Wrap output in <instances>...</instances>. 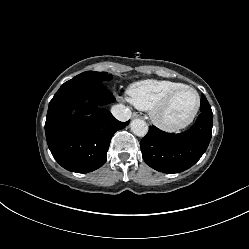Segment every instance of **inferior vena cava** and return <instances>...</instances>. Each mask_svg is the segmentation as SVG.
Here are the masks:
<instances>
[{
  "label": "inferior vena cava",
  "mask_w": 249,
  "mask_h": 249,
  "mask_svg": "<svg viewBox=\"0 0 249 249\" xmlns=\"http://www.w3.org/2000/svg\"><path fill=\"white\" fill-rule=\"evenodd\" d=\"M112 115L119 121L125 122L130 119L131 111L123 104H116L111 108Z\"/></svg>",
  "instance_id": "1"
}]
</instances>
